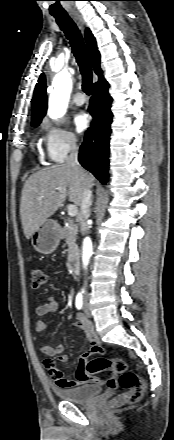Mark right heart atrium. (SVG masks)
<instances>
[{"instance_id": "1", "label": "right heart atrium", "mask_w": 174, "mask_h": 440, "mask_svg": "<svg viewBox=\"0 0 174 440\" xmlns=\"http://www.w3.org/2000/svg\"><path fill=\"white\" fill-rule=\"evenodd\" d=\"M43 129L44 151L50 163L64 161L69 153L77 148V138L67 128L45 120L43 122Z\"/></svg>"}]
</instances>
